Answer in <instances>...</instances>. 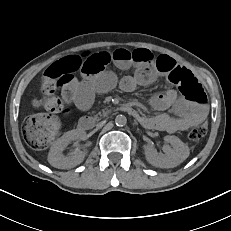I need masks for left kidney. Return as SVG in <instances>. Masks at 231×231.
I'll list each match as a JSON object with an SVG mask.
<instances>
[{"instance_id": "left-kidney-1", "label": "left kidney", "mask_w": 231, "mask_h": 231, "mask_svg": "<svg viewBox=\"0 0 231 231\" xmlns=\"http://www.w3.org/2000/svg\"><path fill=\"white\" fill-rule=\"evenodd\" d=\"M164 145V155L159 154L153 146H144L147 161L156 167L173 168L182 163L189 156V148L176 136H166Z\"/></svg>"}]
</instances>
